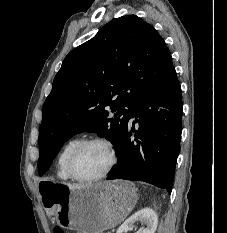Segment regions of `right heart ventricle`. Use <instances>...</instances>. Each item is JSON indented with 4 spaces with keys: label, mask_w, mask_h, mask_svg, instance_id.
I'll use <instances>...</instances> for the list:
<instances>
[{
    "label": "right heart ventricle",
    "mask_w": 227,
    "mask_h": 233,
    "mask_svg": "<svg viewBox=\"0 0 227 233\" xmlns=\"http://www.w3.org/2000/svg\"><path fill=\"white\" fill-rule=\"evenodd\" d=\"M79 142L78 139L69 140L60 150L56 159V172L61 180L71 179L66 169V159L71 149Z\"/></svg>",
    "instance_id": "right-heart-ventricle-1"
}]
</instances>
